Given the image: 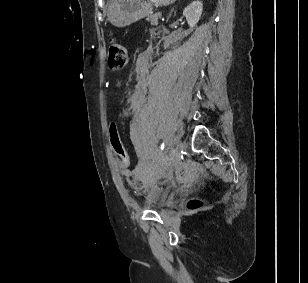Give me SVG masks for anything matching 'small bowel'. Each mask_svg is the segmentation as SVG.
<instances>
[{"label": "small bowel", "mask_w": 308, "mask_h": 283, "mask_svg": "<svg viewBox=\"0 0 308 283\" xmlns=\"http://www.w3.org/2000/svg\"><path fill=\"white\" fill-rule=\"evenodd\" d=\"M145 103V94L142 91H135L130 98V107L133 111H139Z\"/></svg>", "instance_id": "c3829d8e"}]
</instances>
